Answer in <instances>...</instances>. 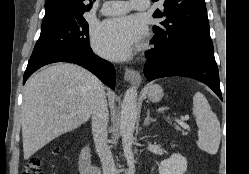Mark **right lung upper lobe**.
I'll return each mask as SVG.
<instances>
[{
	"instance_id": "right-lung-upper-lobe-1",
	"label": "right lung upper lobe",
	"mask_w": 249,
	"mask_h": 174,
	"mask_svg": "<svg viewBox=\"0 0 249 174\" xmlns=\"http://www.w3.org/2000/svg\"><path fill=\"white\" fill-rule=\"evenodd\" d=\"M91 7V0H46L42 26L83 17Z\"/></svg>"
}]
</instances>
